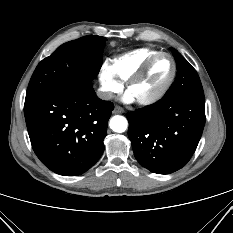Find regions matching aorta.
<instances>
[{
    "label": "aorta",
    "mask_w": 233,
    "mask_h": 233,
    "mask_svg": "<svg viewBox=\"0 0 233 233\" xmlns=\"http://www.w3.org/2000/svg\"><path fill=\"white\" fill-rule=\"evenodd\" d=\"M110 128L117 133H122L128 126L127 119L123 116L116 115L110 119Z\"/></svg>",
    "instance_id": "1"
}]
</instances>
